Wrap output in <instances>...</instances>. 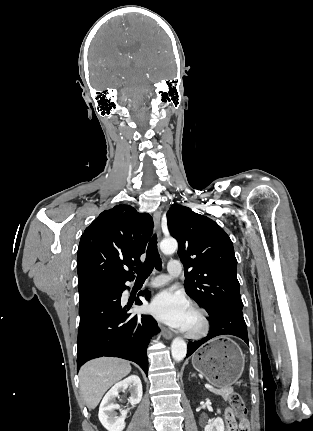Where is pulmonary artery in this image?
I'll return each instance as SVG.
<instances>
[{
	"mask_svg": "<svg viewBox=\"0 0 313 431\" xmlns=\"http://www.w3.org/2000/svg\"><path fill=\"white\" fill-rule=\"evenodd\" d=\"M168 273L169 275H160L155 278L149 286L151 287H161L164 286L171 278L177 277L181 273V265L177 260H171L168 263Z\"/></svg>",
	"mask_w": 313,
	"mask_h": 431,
	"instance_id": "1",
	"label": "pulmonary artery"
}]
</instances>
